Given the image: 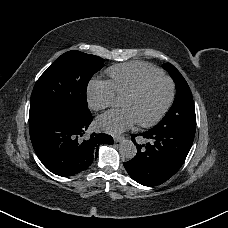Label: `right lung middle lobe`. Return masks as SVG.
I'll return each instance as SVG.
<instances>
[{"label":"right lung middle lobe","mask_w":228,"mask_h":228,"mask_svg":"<svg viewBox=\"0 0 228 228\" xmlns=\"http://www.w3.org/2000/svg\"><path fill=\"white\" fill-rule=\"evenodd\" d=\"M104 60L80 51L62 54L37 80L31 95L30 116L56 113L72 120L92 117L86 90Z\"/></svg>","instance_id":"1"}]
</instances>
